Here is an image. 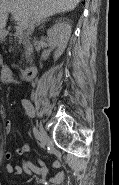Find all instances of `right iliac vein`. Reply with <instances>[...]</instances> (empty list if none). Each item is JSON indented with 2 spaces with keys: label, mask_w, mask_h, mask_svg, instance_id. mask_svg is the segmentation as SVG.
<instances>
[{
  "label": "right iliac vein",
  "mask_w": 119,
  "mask_h": 185,
  "mask_svg": "<svg viewBox=\"0 0 119 185\" xmlns=\"http://www.w3.org/2000/svg\"><path fill=\"white\" fill-rule=\"evenodd\" d=\"M39 134H40L41 145L42 147H45L48 142V135L41 126L39 127Z\"/></svg>",
  "instance_id": "63e3f726"
}]
</instances>
